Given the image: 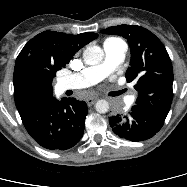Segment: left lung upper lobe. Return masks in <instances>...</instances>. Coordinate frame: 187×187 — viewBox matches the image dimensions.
Returning <instances> with one entry per match:
<instances>
[{"instance_id": "1", "label": "left lung upper lobe", "mask_w": 187, "mask_h": 187, "mask_svg": "<svg viewBox=\"0 0 187 187\" xmlns=\"http://www.w3.org/2000/svg\"><path fill=\"white\" fill-rule=\"evenodd\" d=\"M101 32L120 35L128 40L131 60L126 79L136 83V105L166 118L173 99V69L161 41L152 32L137 25H118Z\"/></svg>"}]
</instances>
